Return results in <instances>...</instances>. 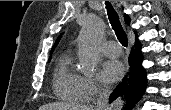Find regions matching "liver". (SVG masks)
<instances>
[{
	"mask_svg": "<svg viewBox=\"0 0 171 110\" xmlns=\"http://www.w3.org/2000/svg\"><path fill=\"white\" fill-rule=\"evenodd\" d=\"M39 110H94L93 107L80 106L67 102H53L43 105Z\"/></svg>",
	"mask_w": 171,
	"mask_h": 110,
	"instance_id": "1",
	"label": "liver"
}]
</instances>
